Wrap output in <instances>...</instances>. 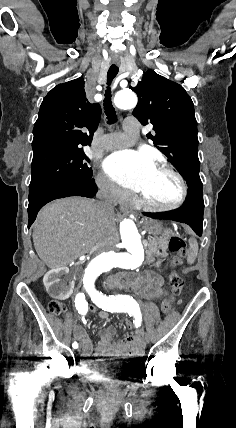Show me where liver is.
<instances>
[{
	"instance_id": "obj_1",
	"label": "liver",
	"mask_w": 236,
	"mask_h": 428,
	"mask_svg": "<svg viewBox=\"0 0 236 428\" xmlns=\"http://www.w3.org/2000/svg\"><path fill=\"white\" fill-rule=\"evenodd\" d=\"M114 214L101 212L95 200L62 198L40 210L32 234L34 248L48 268H64L92 252L95 244H117Z\"/></svg>"
}]
</instances>
